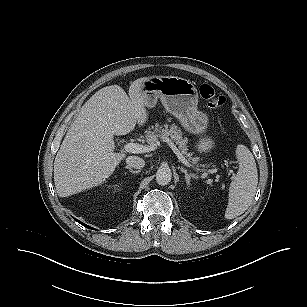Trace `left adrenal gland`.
Wrapping results in <instances>:
<instances>
[{
	"label": "left adrenal gland",
	"instance_id": "left-adrenal-gland-1",
	"mask_svg": "<svg viewBox=\"0 0 307 307\" xmlns=\"http://www.w3.org/2000/svg\"><path fill=\"white\" fill-rule=\"evenodd\" d=\"M181 171L185 174L186 183L190 184V179L195 178V175L193 173H188L187 170L183 167H181Z\"/></svg>",
	"mask_w": 307,
	"mask_h": 307
}]
</instances>
